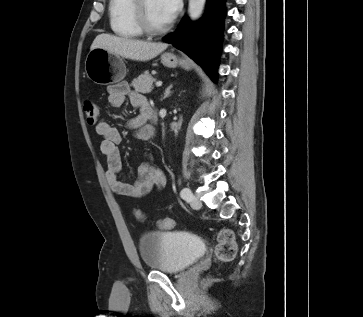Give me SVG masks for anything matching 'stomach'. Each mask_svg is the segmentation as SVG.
<instances>
[{"instance_id":"stomach-1","label":"stomach","mask_w":363,"mask_h":317,"mask_svg":"<svg viewBox=\"0 0 363 317\" xmlns=\"http://www.w3.org/2000/svg\"><path fill=\"white\" fill-rule=\"evenodd\" d=\"M161 62L168 68L181 66L186 70L190 69V63L187 59L178 58L172 53H164L161 56ZM85 72L95 84L108 85L124 79L126 66L119 55L103 48H95L86 57Z\"/></svg>"}]
</instances>
